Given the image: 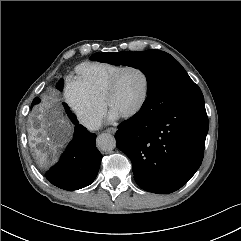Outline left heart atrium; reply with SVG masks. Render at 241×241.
<instances>
[{"mask_svg": "<svg viewBox=\"0 0 241 241\" xmlns=\"http://www.w3.org/2000/svg\"><path fill=\"white\" fill-rule=\"evenodd\" d=\"M119 117H120V115H119L116 111L110 109V111H109V113H108V119H109L110 121H115V120H117Z\"/></svg>", "mask_w": 241, "mask_h": 241, "instance_id": "left-heart-atrium-1", "label": "left heart atrium"}]
</instances>
